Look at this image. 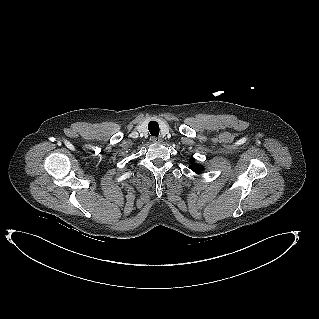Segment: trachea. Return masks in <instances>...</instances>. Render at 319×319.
I'll list each match as a JSON object with an SVG mask.
<instances>
[{"instance_id":"1","label":"trachea","mask_w":319,"mask_h":319,"mask_svg":"<svg viewBox=\"0 0 319 319\" xmlns=\"http://www.w3.org/2000/svg\"><path fill=\"white\" fill-rule=\"evenodd\" d=\"M148 130L152 136L158 137L159 135V124L156 121H151L148 124Z\"/></svg>"}]
</instances>
